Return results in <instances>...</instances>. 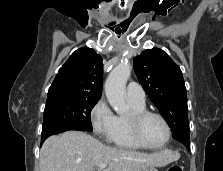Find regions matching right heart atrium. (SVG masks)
I'll use <instances>...</instances> for the list:
<instances>
[{"label":"right heart atrium","mask_w":223,"mask_h":171,"mask_svg":"<svg viewBox=\"0 0 223 171\" xmlns=\"http://www.w3.org/2000/svg\"><path fill=\"white\" fill-rule=\"evenodd\" d=\"M93 132L100 138L108 139L115 126V115L105 99H100L90 111Z\"/></svg>","instance_id":"right-heart-atrium-1"}]
</instances>
